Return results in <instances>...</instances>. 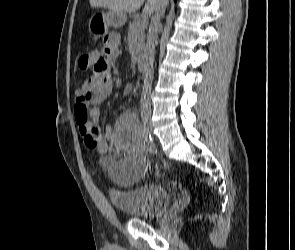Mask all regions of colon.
I'll return each mask as SVG.
<instances>
[{
  "label": "colon",
  "mask_w": 295,
  "mask_h": 250,
  "mask_svg": "<svg viewBox=\"0 0 295 250\" xmlns=\"http://www.w3.org/2000/svg\"><path fill=\"white\" fill-rule=\"evenodd\" d=\"M93 65L92 56L89 53L83 54L79 58V67L82 69H90ZM91 109L89 105L84 102L75 104V117L80 125H86L90 119Z\"/></svg>",
  "instance_id": "1"
}]
</instances>
